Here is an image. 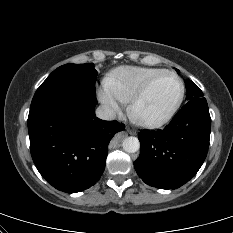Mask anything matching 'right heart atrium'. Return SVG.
Masks as SVG:
<instances>
[{
  "mask_svg": "<svg viewBox=\"0 0 233 233\" xmlns=\"http://www.w3.org/2000/svg\"><path fill=\"white\" fill-rule=\"evenodd\" d=\"M98 98L110 114L115 115L120 113L121 106L118 100H116L105 88L98 91Z\"/></svg>",
  "mask_w": 233,
  "mask_h": 233,
  "instance_id": "obj_1",
  "label": "right heart atrium"
}]
</instances>
